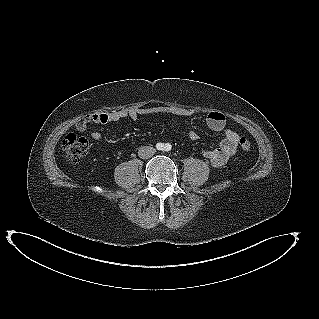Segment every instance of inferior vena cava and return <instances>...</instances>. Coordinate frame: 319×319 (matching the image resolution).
<instances>
[{"label": "inferior vena cava", "instance_id": "1", "mask_svg": "<svg viewBox=\"0 0 319 319\" xmlns=\"http://www.w3.org/2000/svg\"><path fill=\"white\" fill-rule=\"evenodd\" d=\"M156 150L152 146H142L138 151V156L142 159H148L154 155Z\"/></svg>", "mask_w": 319, "mask_h": 319}]
</instances>
